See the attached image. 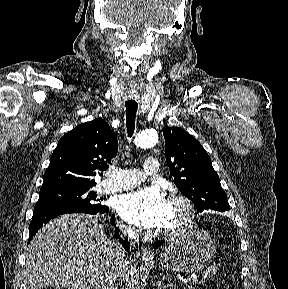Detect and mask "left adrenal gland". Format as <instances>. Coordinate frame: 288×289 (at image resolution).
<instances>
[{
	"label": "left adrenal gland",
	"mask_w": 288,
	"mask_h": 289,
	"mask_svg": "<svg viewBox=\"0 0 288 289\" xmlns=\"http://www.w3.org/2000/svg\"><path fill=\"white\" fill-rule=\"evenodd\" d=\"M156 283H157L158 289H166L169 286H171V284H163L160 279H158Z\"/></svg>",
	"instance_id": "1"
}]
</instances>
